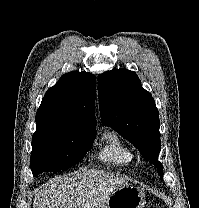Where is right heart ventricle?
<instances>
[{"instance_id": "1", "label": "right heart ventricle", "mask_w": 199, "mask_h": 208, "mask_svg": "<svg viewBox=\"0 0 199 208\" xmlns=\"http://www.w3.org/2000/svg\"><path fill=\"white\" fill-rule=\"evenodd\" d=\"M103 140V146L98 153L100 161L118 167H126L133 162L132 150L117 133L108 132Z\"/></svg>"}]
</instances>
